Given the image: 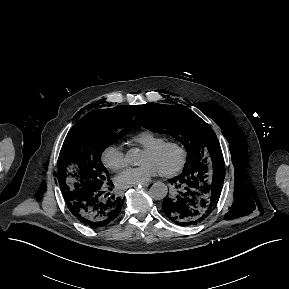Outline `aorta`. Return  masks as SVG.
<instances>
[{
    "label": "aorta",
    "instance_id": "obj_1",
    "mask_svg": "<svg viewBox=\"0 0 289 289\" xmlns=\"http://www.w3.org/2000/svg\"><path fill=\"white\" fill-rule=\"evenodd\" d=\"M142 152L138 148L130 149L126 154V160L130 165H138L141 161ZM168 188L162 182L154 183L149 190L150 196L155 200H162L166 197Z\"/></svg>",
    "mask_w": 289,
    "mask_h": 289
}]
</instances>
